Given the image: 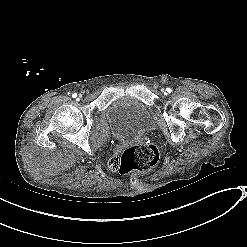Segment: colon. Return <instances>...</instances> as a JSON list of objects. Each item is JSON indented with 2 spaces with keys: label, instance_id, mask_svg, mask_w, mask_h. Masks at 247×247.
Instances as JSON below:
<instances>
[{
  "label": "colon",
  "instance_id": "obj_1",
  "mask_svg": "<svg viewBox=\"0 0 247 247\" xmlns=\"http://www.w3.org/2000/svg\"><path fill=\"white\" fill-rule=\"evenodd\" d=\"M120 157L121 166L118 172L148 171L158 163L160 153L155 144L145 142L123 151Z\"/></svg>",
  "mask_w": 247,
  "mask_h": 247
}]
</instances>
